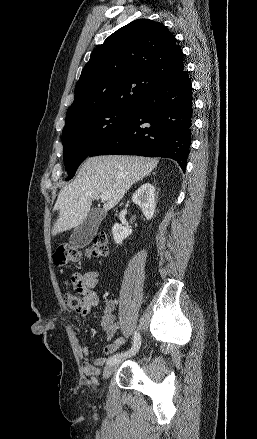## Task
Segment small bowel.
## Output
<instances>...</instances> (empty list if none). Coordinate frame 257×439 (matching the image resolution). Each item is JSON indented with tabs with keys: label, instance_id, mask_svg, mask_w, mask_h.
<instances>
[{
	"label": "small bowel",
	"instance_id": "obj_1",
	"mask_svg": "<svg viewBox=\"0 0 257 439\" xmlns=\"http://www.w3.org/2000/svg\"><path fill=\"white\" fill-rule=\"evenodd\" d=\"M71 280L75 289H82L85 293V307L80 314L86 316L92 308L98 307L100 302L99 296L94 290L97 284V273H75L72 275ZM114 308L115 302L113 300H108L103 306L102 314L99 319L100 328L105 332L107 337V343L102 349V352L106 355L115 353L126 342L123 337L114 338L119 329V325L113 314ZM80 353L84 374L89 377L98 376L101 373V368L107 364L108 359L105 357H98L91 360V350L87 345L80 346Z\"/></svg>",
	"mask_w": 257,
	"mask_h": 439
}]
</instances>
